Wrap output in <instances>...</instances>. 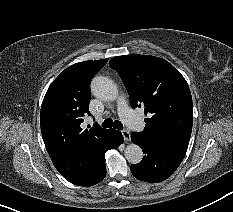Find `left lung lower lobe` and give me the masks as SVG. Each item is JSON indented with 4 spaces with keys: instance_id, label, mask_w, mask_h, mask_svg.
I'll return each mask as SVG.
<instances>
[{
    "instance_id": "left-lung-lower-lobe-1",
    "label": "left lung lower lobe",
    "mask_w": 233,
    "mask_h": 212,
    "mask_svg": "<svg viewBox=\"0 0 233 212\" xmlns=\"http://www.w3.org/2000/svg\"><path fill=\"white\" fill-rule=\"evenodd\" d=\"M133 143L143 149V160L131 165V172L137 179L158 183L170 177L182 162L186 152L158 144L138 132L131 135Z\"/></svg>"
}]
</instances>
